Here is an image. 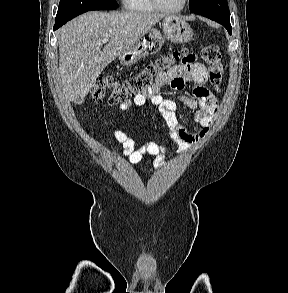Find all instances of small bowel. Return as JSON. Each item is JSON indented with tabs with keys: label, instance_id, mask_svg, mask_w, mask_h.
<instances>
[{
	"label": "small bowel",
	"instance_id": "1",
	"mask_svg": "<svg viewBox=\"0 0 288 293\" xmlns=\"http://www.w3.org/2000/svg\"><path fill=\"white\" fill-rule=\"evenodd\" d=\"M208 80V72L205 66L196 61L193 54H189L180 65L171 70L160 73L156 77L155 84L146 91L136 95L131 101L120 104L121 110L128 109L131 105L138 107L150 102L158 108L159 114L166 125L165 138L177 145L182 150H189L208 131L217 113V100L215 96L204 87ZM194 82V97L179 96L178 101L193 111V120L202 127L198 133H191L177 112V102L166 99L162 93L167 87L180 91L187 82ZM113 137L121 145L124 156L131 164H138L144 155L154 156L156 165L162 164L165 143L154 141L136 146L135 141L125 132L117 129L112 130Z\"/></svg>",
	"mask_w": 288,
	"mask_h": 293
}]
</instances>
